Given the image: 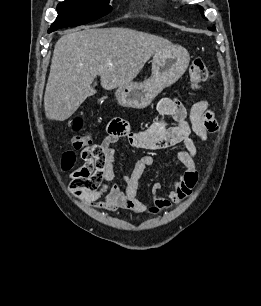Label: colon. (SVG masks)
Masks as SVG:
<instances>
[{
	"instance_id": "obj_1",
	"label": "colon",
	"mask_w": 261,
	"mask_h": 306,
	"mask_svg": "<svg viewBox=\"0 0 261 306\" xmlns=\"http://www.w3.org/2000/svg\"><path fill=\"white\" fill-rule=\"evenodd\" d=\"M189 77L192 88L199 90L203 83L212 77V72L206 67L200 59H195L189 67ZM82 127L81 120L76 118L73 122L75 132L80 131ZM72 146L76 150H82V157L93 161L97 168H101L106 161V155L103 148L99 144H93L90 137L86 135H76L72 138ZM75 162V154L68 151L63 155L62 165L65 169H70ZM94 184L84 177L78 170L73 172L71 180V188L77 195L85 189L93 188Z\"/></svg>"
}]
</instances>
